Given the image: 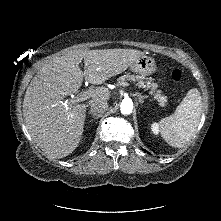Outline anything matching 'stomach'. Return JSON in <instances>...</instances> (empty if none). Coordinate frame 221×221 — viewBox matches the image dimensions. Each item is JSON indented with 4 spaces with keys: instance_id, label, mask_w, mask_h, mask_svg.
Here are the masks:
<instances>
[{
    "instance_id": "stomach-1",
    "label": "stomach",
    "mask_w": 221,
    "mask_h": 221,
    "mask_svg": "<svg viewBox=\"0 0 221 221\" xmlns=\"http://www.w3.org/2000/svg\"><path fill=\"white\" fill-rule=\"evenodd\" d=\"M130 70L142 75H149L156 71V64L152 57L143 55L132 63Z\"/></svg>"
}]
</instances>
